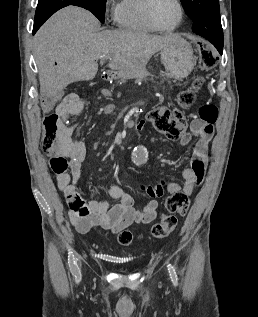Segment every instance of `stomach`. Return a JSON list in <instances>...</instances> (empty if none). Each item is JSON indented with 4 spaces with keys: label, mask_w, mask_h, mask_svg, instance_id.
<instances>
[{
    "label": "stomach",
    "mask_w": 258,
    "mask_h": 317,
    "mask_svg": "<svg viewBox=\"0 0 258 317\" xmlns=\"http://www.w3.org/2000/svg\"><path fill=\"white\" fill-rule=\"evenodd\" d=\"M161 62L171 78H183L191 72L196 64L194 48L188 40L183 38L180 42H176L172 46H166L161 50Z\"/></svg>",
    "instance_id": "obj_1"
}]
</instances>
